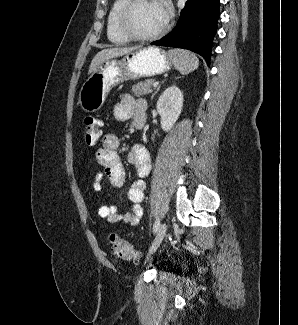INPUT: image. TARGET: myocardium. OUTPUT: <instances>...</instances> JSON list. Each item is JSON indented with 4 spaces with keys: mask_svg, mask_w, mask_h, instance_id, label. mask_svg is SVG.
Listing matches in <instances>:
<instances>
[{
    "mask_svg": "<svg viewBox=\"0 0 298 325\" xmlns=\"http://www.w3.org/2000/svg\"><path fill=\"white\" fill-rule=\"evenodd\" d=\"M142 0H126L125 3L123 4L118 17H117V29L119 31V33L124 36L125 38H127L130 41H136V42H150V41H154L157 38H159L165 31L167 28V24L168 21L166 19L164 25L157 30L156 32H154L151 35L148 36H137L135 35L127 26L126 24V19L127 16L130 12V10ZM157 2L158 4H160L161 6L164 7L163 3L161 2V0H152Z\"/></svg>",
    "mask_w": 298,
    "mask_h": 325,
    "instance_id": "1",
    "label": "myocardium"
}]
</instances>
